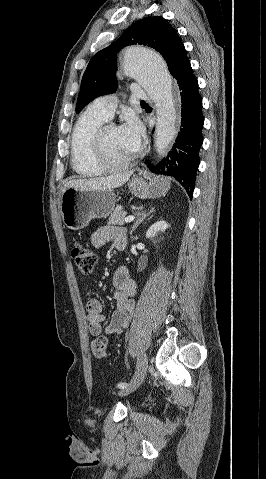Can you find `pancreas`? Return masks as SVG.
<instances>
[{"mask_svg":"<svg viewBox=\"0 0 266 479\" xmlns=\"http://www.w3.org/2000/svg\"><path fill=\"white\" fill-rule=\"evenodd\" d=\"M126 212L120 209H115L111 216L109 217L107 224L108 225H123L124 219L126 217Z\"/></svg>","mask_w":266,"mask_h":479,"instance_id":"pancreas-1","label":"pancreas"}]
</instances>
